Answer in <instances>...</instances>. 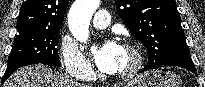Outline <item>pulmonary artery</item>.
I'll return each instance as SVG.
<instances>
[{"mask_svg":"<svg viewBox=\"0 0 205 87\" xmlns=\"http://www.w3.org/2000/svg\"><path fill=\"white\" fill-rule=\"evenodd\" d=\"M111 16L106 10H99L95 13L92 24L97 29L107 28L110 24Z\"/></svg>","mask_w":205,"mask_h":87,"instance_id":"e3ab8cb5","label":"pulmonary artery"}]
</instances>
